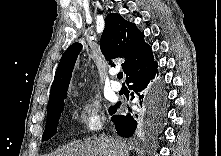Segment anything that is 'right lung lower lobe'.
Listing matches in <instances>:
<instances>
[{"label":"right lung lower lobe","mask_w":221,"mask_h":156,"mask_svg":"<svg viewBox=\"0 0 221 156\" xmlns=\"http://www.w3.org/2000/svg\"><path fill=\"white\" fill-rule=\"evenodd\" d=\"M157 67V62L153 61L150 65L134 72L126 79L127 84H130L129 89L132 91V99L134 98L133 94L139 96L141 105L142 102L145 103L152 120L161 118L165 106L164 88L157 77ZM119 105L120 102L116 104L112 111L111 120L115 123L118 135L131 137L138 125V115L130 109V113L126 115H115Z\"/></svg>","instance_id":"98d812e1"}]
</instances>
